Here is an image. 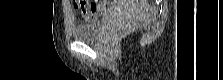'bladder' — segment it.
Listing matches in <instances>:
<instances>
[{
    "mask_svg": "<svg viewBox=\"0 0 223 80\" xmlns=\"http://www.w3.org/2000/svg\"><path fill=\"white\" fill-rule=\"evenodd\" d=\"M112 14L106 13L96 22L75 25L72 29L73 38L78 41H97L103 33L106 21Z\"/></svg>",
    "mask_w": 223,
    "mask_h": 80,
    "instance_id": "1",
    "label": "bladder"
}]
</instances>
